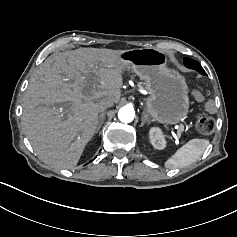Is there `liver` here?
I'll list each match as a JSON object with an SVG mask.
<instances>
[{
  "label": "liver",
  "mask_w": 237,
  "mask_h": 237,
  "mask_svg": "<svg viewBox=\"0 0 237 237\" xmlns=\"http://www.w3.org/2000/svg\"><path fill=\"white\" fill-rule=\"evenodd\" d=\"M122 52L81 47L50 56L36 71L23 98L22 125L43 163L77 165L99 123L101 100H120Z\"/></svg>",
  "instance_id": "6515ba94"
}]
</instances>
